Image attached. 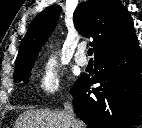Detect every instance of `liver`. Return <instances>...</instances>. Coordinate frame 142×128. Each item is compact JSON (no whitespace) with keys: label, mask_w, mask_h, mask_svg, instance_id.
Instances as JSON below:
<instances>
[{"label":"liver","mask_w":142,"mask_h":128,"mask_svg":"<svg viewBox=\"0 0 142 128\" xmlns=\"http://www.w3.org/2000/svg\"><path fill=\"white\" fill-rule=\"evenodd\" d=\"M76 126L77 128H86L78 119H76ZM14 128H72V125L64 111L36 109L21 114Z\"/></svg>","instance_id":"1"}]
</instances>
